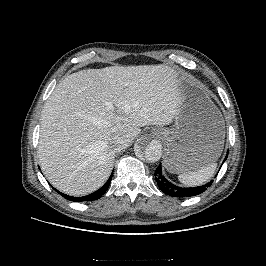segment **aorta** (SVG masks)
I'll return each mask as SVG.
<instances>
[{"label":"aorta","instance_id":"1","mask_svg":"<svg viewBox=\"0 0 266 266\" xmlns=\"http://www.w3.org/2000/svg\"><path fill=\"white\" fill-rule=\"evenodd\" d=\"M135 150L149 162H157L162 156V144L156 139H141L137 143Z\"/></svg>","mask_w":266,"mask_h":266}]
</instances>
